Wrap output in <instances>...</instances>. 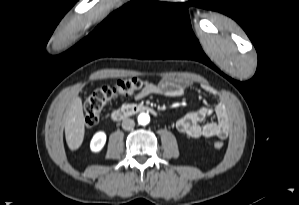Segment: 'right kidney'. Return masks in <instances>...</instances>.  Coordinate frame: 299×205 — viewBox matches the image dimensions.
Listing matches in <instances>:
<instances>
[{
	"mask_svg": "<svg viewBox=\"0 0 299 205\" xmlns=\"http://www.w3.org/2000/svg\"><path fill=\"white\" fill-rule=\"evenodd\" d=\"M106 142V134L103 131H99L95 133L93 136L91 143H90V149L92 152H100L102 148L104 147Z\"/></svg>",
	"mask_w": 299,
	"mask_h": 205,
	"instance_id": "ca27d5eb",
	"label": "right kidney"
}]
</instances>
